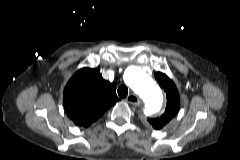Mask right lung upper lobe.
<instances>
[{
    "instance_id": "cb5924a9",
    "label": "right lung upper lobe",
    "mask_w": 240,
    "mask_h": 160,
    "mask_svg": "<svg viewBox=\"0 0 240 160\" xmlns=\"http://www.w3.org/2000/svg\"><path fill=\"white\" fill-rule=\"evenodd\" d=\"M117 100L114 83L105 81L98 69L82 68L68 81L63 104L75 124L88 127Z\"/></svg>"
}]
</instances>
